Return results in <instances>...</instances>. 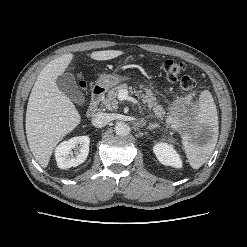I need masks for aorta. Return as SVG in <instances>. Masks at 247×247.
Returning <instances> with one entry per match:
<instances>
[{"instance_id":"1","label":"aorta","mask_w":247,"mask_h":247,"mask_svg":"<svg viewBox=\"0 0 247 247\" xmlns=\"http://www.w3.org/2000/svg\"><path fill=\"white\" fill-rule=\"evenodd\" d=\"M115 133L119 136H126L130 132V127L123 122H118L114 127Z\"/></svg>"}]
</instances>
